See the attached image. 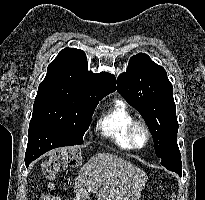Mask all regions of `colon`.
Segmentation results:
<instances>
[{"instance_id":"1","label":"colon","mask_w":205,"mask_h":200,"mask_svg":"<svg viewBox=\"0 0 205 200\" xmlns=\"http://www.w3.org/2000/svg\"><path fill=\"white\" fill-rule=\"evenodd\" d=\"M80 161V152L74 147H66L55 151L43 163L44 177L50 183L56 173L67 168L76 167Z\"/></svg>"}]
</instances>
